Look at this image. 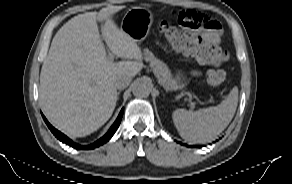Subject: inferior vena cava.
Here are the masks:
<instances>
[{
    "label": "inferior vena cava",
    "mask_w": 292,
    "mask_h": 184,
    "mask_svg": "<svg viewBox=\"0 0 292 184\" xmlns=\"http://www.w3.org/2000/svg\"><path fill=\"white\" fill-rule=\"evenodd\" d=\"M131 82V77L122 75L116 79L115 86L117 89H124L126 88Z\"/></svg>",
    "instance_id": "602c4592"
}]
</instances>
